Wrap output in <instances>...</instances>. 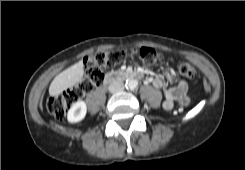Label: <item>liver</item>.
I'll return each instance as SVG.
<instances>
[{
    "mask_svg": "<svg viewBox=\"0 0 245 170\" xmlns=\"http://www.w3.org/2000/svg\"><path fill=\"white\" fill-rule=\"evenodd\" d=\"M84 75V65L82 61L72 65L60 74H58L50 84L49 94L51 96L59 95L68 88L79 83Z\"/></svg>",
    "mask_w": 245,
    "mask_h": 170,
    "instance_id": "1",
    "label": "liver"
}]
</instances>
